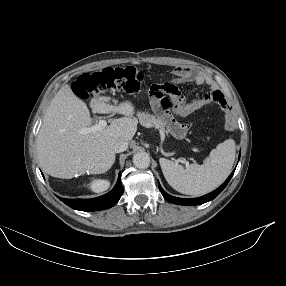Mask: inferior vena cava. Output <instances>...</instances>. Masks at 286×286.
<instances>
[{
	"label": "inferior vena cava",
	"mask_w": 286,
	"mask_h": 286,
	"mask_svg": "<svg viewBox=\"0 0 286 286\" xmlns=\"http://www.w3.org/2000/svg\"><path fill=\"white\" fill-rule=\"evenodd\" d=\"M128 140L126 139H119L116 141L114 145V151L115 153H120L125 151L128 148Z\"/></svg>",
	"instance_id": "1"
}]
</instances>
